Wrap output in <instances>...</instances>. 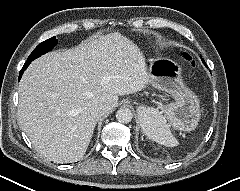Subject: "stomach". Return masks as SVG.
Returning <instances> with one entry per match:
<instances>
[{"instance_id":"1","label":"stomach","mask_w":240,"mask_h":191,"mask_svg":"<svg viewBox=\"0 0 240 191\" xmlns=\"http://www.w3.org/2000/svg\"><path fill=\"white\" fill-rule=\"evenodd\" d=\"M147 72L149 83L171 94L175 100L166 106V115L173 126L183 131L194 130L201 115L200 102L184 83L178 64L167 58H157L151 61ZM148 109L140 107L139 120Z\"/></svg>"}]
</instances>
